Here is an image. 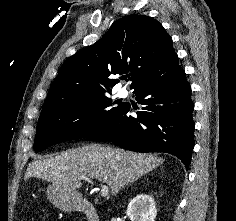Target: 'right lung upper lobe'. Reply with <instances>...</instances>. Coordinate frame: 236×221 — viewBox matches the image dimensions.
I'll return each instance as SVG.
<instances>
[{"label":"right lung upper lobe","instance_id":"right-lung-upper-lobe-1","mask_svg":"<svg viewBox=\"0 0 236 221\" xmlns=\"http://www.w3.org/2000/svg\"><path fill=\"white\" fill-rule=\"evenodd\" d=\"M176 55L172 39L149 16L131 14L117 20L95 44L83 48L62 65L43 110L75 99L102 94L119 82L111 74L130 72L131 87L166 66ZM111 92V90H108Z\"/></svg>","mask_w":236,"mask_h":221}]
</instances>
